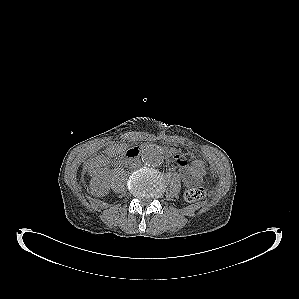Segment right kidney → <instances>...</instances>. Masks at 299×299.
<instances>
[{
  "instance_id": "obj_1",
  "label": "right kidney",
  "mask_w": 299,
  "mask_h": 299,
  "mask_svg": "<svg viewBox=\"0 0 299 299\" xmlns=\"http://www.w3.org/2000/svg\"><path fill=\"white\" fill-rule=\"evenodd\" d=\"M90 188L92 194L98 197L104 196L109 192L110 188L102 171L92 178Z\"/></svg>"
}]
</instances>
